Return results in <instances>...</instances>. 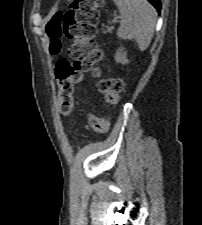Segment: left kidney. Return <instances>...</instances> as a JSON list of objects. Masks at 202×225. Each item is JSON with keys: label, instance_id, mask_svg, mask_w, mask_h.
<instances>
[{"label": "left kidney", "instance_id": "obj_1", "mask_svg": "<svg viewBox=\"0 0 202 225\" xmlns=\"http://www.w3.org/2000/svg\"><path fill=\"white\" fill-rule=\"evenodd\" d=\"M126 52L124 51V48H119L117 51H116V54H115V60L117 63H121V64H126L128 63V59L126 57Z\"/></svg>", "mask_w": 202, "mask_h": 225}]
</instances>
